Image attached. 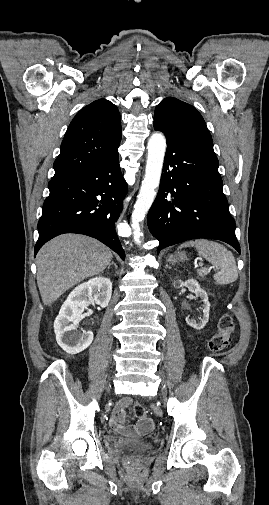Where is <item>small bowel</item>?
<instances>
[{
  "label": "small bowel",
  "instance_id": "small-bowel-1",
  "mask_svg": "<svg viewBox=\"0 0 269 505\" xmlns=\"http://www.w3.org/2000/svg\"><path fill=\"white\" fill-rule=\"evenodd\" d=\"M131 404L132 400L129 397H124L117 403L110 420V426L114 431L124 435H144L153 428V421L150 418H141L135 426H127L124 424L125 410Z\"/></svg>",
  "mask_w": 269,
  "mask_h": 505
}]
</instances>
